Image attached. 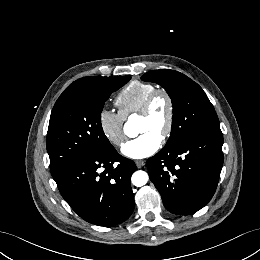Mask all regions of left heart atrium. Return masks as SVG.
<instances>
[{"label":"left heart atrium","instance_id":"1","mask_svg":"<svg viewBox=\"0 0 260 260\" xmlns=\"http://www.w3.org/2000/svg\"><path fill=\"white\" fill-rule=\"evenodd\" d=\"M161 146V137L153 132H144L127 141L121 148L122 153L132 159H143L153 155Z\"/></svg>","mask_w":260,"mask_h":260}]
</instances>
